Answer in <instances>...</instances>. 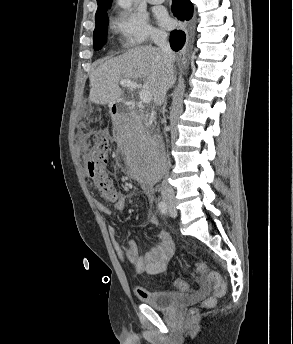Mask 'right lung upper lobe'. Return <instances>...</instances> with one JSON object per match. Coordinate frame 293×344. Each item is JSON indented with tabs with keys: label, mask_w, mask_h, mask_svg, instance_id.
<instances>
[{
	"label": "right lung upper lobe",
	"mask_w": 293,
	"mask_h": 344,
	"mask_svg": "<svg viewBox=\"0 0 293 344\" xmlns=\"http://www.w3.org/2000/svg\"><path fill=\"white\" fill-rule=\"evenodd\" d=\"M98 3V9L97 11H100L101 9L107 7V6H111L112 0H97Z\"/></svg>",
	"instance_id": "1"
}]
</instances>
